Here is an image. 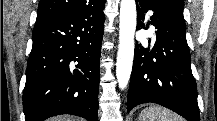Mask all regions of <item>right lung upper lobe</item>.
I'll list each match as a JSON object with an SVG mask.
<instances>
[{"mask_svg": "<svg viewBox=\"0 0 217 121\" xmlns=\"http://www.w3.org/2000/svg\"><path fill=\"white\" fill-rule=\"evenodd\" d=\"M88 0H40L37 19L81 9Z\"/></svg>", "mask_w": 217, "mask_h": 121, "instance_id": "right-lung-upper-lobe-1", "label": "right lung upper lobe"}]
</instances>
